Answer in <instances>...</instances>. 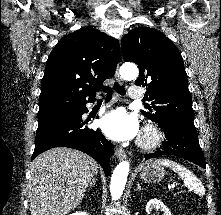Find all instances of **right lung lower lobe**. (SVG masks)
I'll return each instance as SVG.
<instances>
[{"label":"right lung lower lobe","instance_id":"right-lung-lower-lobe-1","mask_svg":"<svg viewBox=\"0 0 221 215\" xmlns=\"http://www.w3.org/2000/svg\"><path fill=\"white\" fill-rule=\"evenodd\" d=\"M111 99V93L107 101ZM88 110L86 105L67 115L38 121L35 150L32 160L40 153L54 147H69L80 150L100 163L105 174H110V155L114 146L100 131L87 128L81 117Z\"/></svg>","mask_w":221,"mask_h":215}]
</instances>
